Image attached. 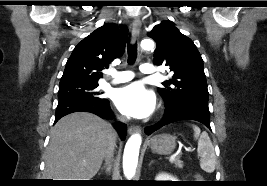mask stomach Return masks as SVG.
<instances>
[{
    "label": "stomach",
    "instance_id": "stomach-1",
    "mask_svg": "<svg viewBox=\"0 0 267 186\" xmlns=\"http://www.w3.org/2000/svg\"><path fill=\"white\" fill-rule=\"evenodd\" d=\"M149 148L158 154H170L176 146V138L170 134H159L148 140Z\"/></svg>",
    "mask_w": 267,
    "mask_h": 186
}]
</instances>
